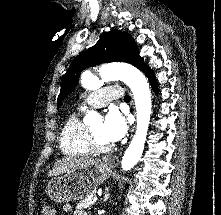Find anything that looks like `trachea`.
Instances as JSON below:
<instances>
[{"label": "trachea", "mask_w": 221, "mask_h": 215, "mask_svg": "<svg viewBox=\"0 0 221 215\" xmlns=\"http://www.w3.org/2000/svg\"><path fill=\"white\" fill-rule=\"evenodd\" d=\"M130 99H131V98H130L129 95H125V96H124V100H125V101H130Z\"/></svg>", "instance_id": "trachea-1"}]
</instances>
